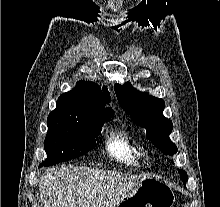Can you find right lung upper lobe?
Masks as SVG:
<instances>
[{
	"label": "right lung upper lobe",
	"mask_w": 220,
	"mask_h": 207,
	"mask_svg": "<svg viewBox=\"0 0 220 207\" xmlns=\"http://www.w3.org/2000/svg\"><path fill=\"white\" fill-rule=\"evenodd\" d=\"M59 100L71 102L86 113L92 114L101 120L109 121L113 116L111 108L104 107L110 101L108 89L103 86L102 90L97 83L81 80L76 87L63 93Z\"/></svg>",
	"instance_id": "cb5924a9"
}]
</instances>
